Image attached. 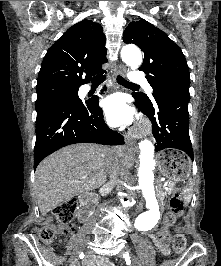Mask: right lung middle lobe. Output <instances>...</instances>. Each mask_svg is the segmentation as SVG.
<instances>
[{
  "instance_id": "right-lung-middle-lobe-1",
  "label": "right lung middle lobe",
  "mask_w": 221,
  "mask_h": 266,
  "mask_svg": "<svg viewBox=\"0 0 221 266\" xmlns=\"http://www.w3.org/2000/svg\"><path fill=\"white\" fill-rule=\"evenodd\" d=\"M78 89V87H68L64 85L37 87V100L35 102L37 114L56 103L64 101L81 103L82 101L78 97Z\"/></svg>"
}]
</instances>
